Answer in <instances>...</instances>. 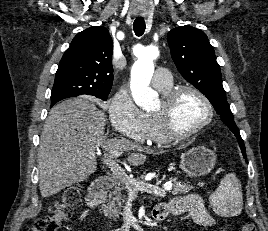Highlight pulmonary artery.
<instances>
[{
  "label": "pulmonary artery",
  "mask_w": 268,
  "mask_h": 231,
  "mask_svg": "<svg viewBox=\"0 0 268 231\" xmlns=\"http://www.w3.org/2000/svg\"><path fill=\"white\" fill-rule=\"evenodd\" d=\"M172 83L169 69L159 67L152 76V84L156 87L168 86Z\"/></svg>",
  "instance_id": "1"
}]
</instances>
